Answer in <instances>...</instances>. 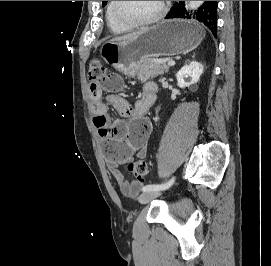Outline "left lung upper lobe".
<instances>
[{
    "label": "left lung upper lobe",
    "mask_w": 271,
    "mask_h": 266,
    "mask_svg": "<svg viewBox=\"0 0 271 266\" xmlns=\"http://www.w3.org/2000/svg\"><path fill=\"white\" fill-rule=\"evenodd\" d=\"M103 5H105L107 3V1H102Z\"/></svg>",
    "instance_id": "5c2ea615"
}]
</instances>
